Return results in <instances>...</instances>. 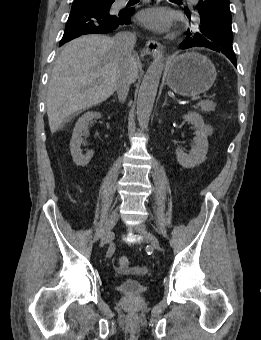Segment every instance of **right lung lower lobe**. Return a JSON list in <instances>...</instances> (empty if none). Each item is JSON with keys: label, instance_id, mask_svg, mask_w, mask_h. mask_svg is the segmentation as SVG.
<instances>
[{"label": "right lung lower lobe", "instance_id": "1", "mask_svg": "<svg viewBox=\"0 0 261 340\" xmlns=\"http://www.w3.org/2000/svg\"><path fill=\"white\" fill-rule=\"evenodd\" d=\"M115 0H74L60 45L89 33H108L129 24L133 8H113Z\"/></svg>", "mask_w": 261, "mask_h": 340}]
</instances>
